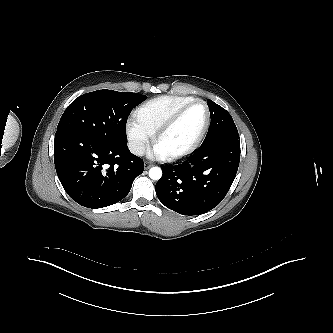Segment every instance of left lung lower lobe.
<instances>
[{
    "label": "left lung lower lobe",
    "mask_w": 333,
    "mask_h": 333,
    "mask_svg": "<svg viewBox=\"0 0 333 333\" xmlns=\"http://www.w3.org/2000/svg\"><path fill=\"white\" fill-rule=\"evenodd\" d=\"M240 162V142L221 137L202 143L186 161L163 166L156 194L163 205L183 215L216 207L230 189Z\"/></svg>",
    "instance_id": "left-lung-lower-lobe-1"
}]
</instances>
